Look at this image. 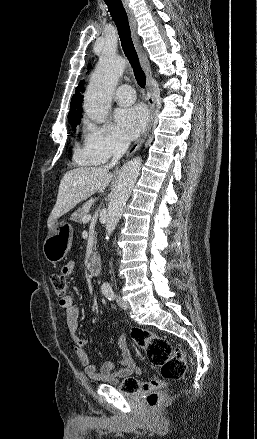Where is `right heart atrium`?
<instances>
[{
  "mask_svg": "<svg viewBox=\"0 0 257 439\" xmlns=\"http://www.w3.org/2000/svg\"><path fill=\"white\" fill-rule=\"evenodd\" d=\"M125 147L126 140L115 125L85 121L83 146L78 152V158L87 163H103L121 154Z\"/></svg>",
  "mask_w": 257,
  "mask_h": 439,
  "instance_id": "obj_1",
  "label": "right heart atrium"
}]
</instances>
